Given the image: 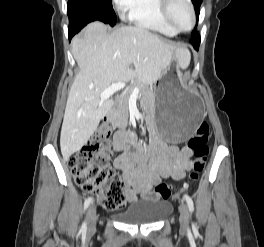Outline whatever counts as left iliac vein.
Instances as JSON below:
<instances>
[{
	"label": "left iliac vein",
	"mask_w": 264,
	"mask_h": 247,
	"mask_svg": "<svg viewBox=\"0 0 264 247\" xmlns=\"http://www.w3.org/2000/svg\"><path fill=\"white\" fill-rule=\"evenodd\" d=\"M179 212H180V224L183 229H186L188 226L189 222V213H188V208L186 204L182 201L180 206H179Z\"/></svg>",
	"instance_id": "obj_1"
}]
</instances>
